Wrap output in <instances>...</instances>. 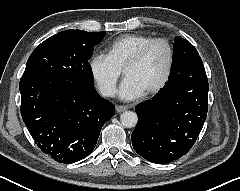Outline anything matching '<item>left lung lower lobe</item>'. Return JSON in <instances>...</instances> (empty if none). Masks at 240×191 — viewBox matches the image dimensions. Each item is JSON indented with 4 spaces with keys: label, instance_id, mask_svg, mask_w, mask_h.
I'll use <instances>...</instances> for the list:
<instances>
[{
    "label": "left lung lower lobe",
    "instance_id": "obj_1",
    "mask_svg": "<svg viewBox=\"0 0 240 191\" xmlns=\"http://www.w3.org/2000/svg\"><path fill=\"white\" fill-rule=\"evenodd\" d=\"M208 90L203 67H176L167 84L135 108L139 119L131 135L135 151L156 164H167L185 155L206 120Z\"/></svg>",
    "mask_w": 240,
    "mask_h": 191
}]
</instances>
